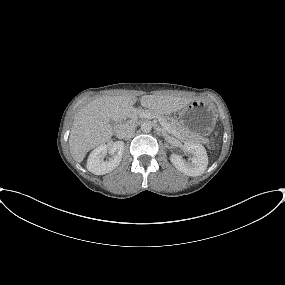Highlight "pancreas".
<instances>
[{
    "label": "pancreas",
    "mask_w": 285,
    "mask_h": 285,
    "mask_svg": "<svg viewBox=\"0 0 285 285\" xmlns=\"http://www.w3.org/2000/svg\"><path fill=\"white\" fill-rule=\"evenodd\" d=\"M141 113H150L154 117L158 118L159 120L164 121L167 123L170 127V131H168L170 134L179 137V138H184L188 136L187 132L179 125L178 121L172 117H165L160 114H156L153 111L146 110V111H137L134 115L133 118L135 119L138 114ZM196 142H202V143H208V140L204 139L203 137L199 138H194Z\"/></svg>",
    "instance_id": "obj_1"
}]
</instances>
